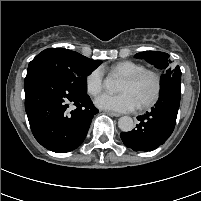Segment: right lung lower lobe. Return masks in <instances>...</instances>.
<instances>
[{"label":"right lung lower lobe","instance_id":"right-lung-lower-lobe-1","mask_svg":"<svg viewBox=\"0 0 201 201\" xmlns=\"http://www.w3.org/2000/svg\"><path fill=\"white\" fill-rule=\"evenodd\" d=\"M24 89L25 110L35 139L56 153L79 147L98 113L89 96L47 69L27 72Z\"/></svg>","mask_w":201,"mask_h":201}]
</instances>
